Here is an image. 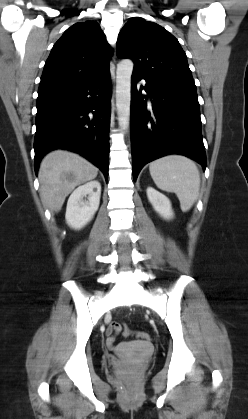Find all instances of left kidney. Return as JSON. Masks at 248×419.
<instances>
[{
    "mask_svg": "<svg viewBox=\"0 0 248 419\" xmlns=\"http://www.w3.org/2000/svg\"><path fill=\"white\" fill-rule=\"evenodd\" d=\"M146 192L148 200L152 204L154 210L164 219H172L174 213L170 200L164 194L152 187H148Z\"/></svg>",
    "mask_w": 248,
    "mask_h": 419,
    "instance_id": "1",
    "label": "left kidney"
}]
</instances>
